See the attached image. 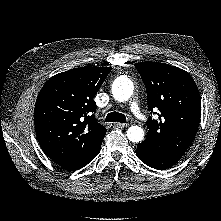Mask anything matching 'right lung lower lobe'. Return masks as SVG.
<instances>
[{
	"mask_svg": "<svg viewBox=\"0 0 221 221\" xmlns=\"http://www.w3.org/2000/svg\"><path fill=\"white\" fill-rule=\"evenodd\" d=\"M100 149L93 153L91 156L81 160V161H55L59 166L68 170L81 169L90 163L99 153Z\"/></svg>",
	"mask_w": 221,
	"mask_h": 221,
	"instance_id": "98d812e1",
	"label": "right lung lower lobe"
}]
</instances>
